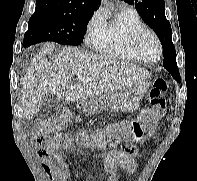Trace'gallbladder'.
Segmentation results:
<instances>
[{
    "instance_id": "obj_1",
    "label": "gallbladder",
    "mask_w": 197,
    "mask_h": 181,
    "mask_svg": "<svg viewBox=\"0 0 197 181\" xmlns=\"http://www.w3.org/2000/svg\"><path fill=\"white\" fill-rule=\"evenodd\" d=\"M55 100L51 95H46L42 98L40 113L49 112L54 106Z\"/></svg>"
}]
</instances>
